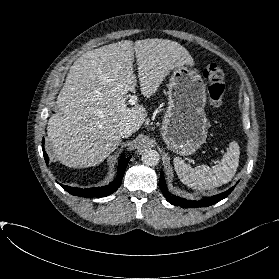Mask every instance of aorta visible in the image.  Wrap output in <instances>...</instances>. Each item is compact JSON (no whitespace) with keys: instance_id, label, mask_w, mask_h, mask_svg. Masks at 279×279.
<instances>
[{"instance_id":"762f6f07","label":"aorta","mask_w":279,"mask_h":279,"mask_svg":"<svg viewBox=\"0 0 279 279\" xmlns=\"http://www.w3.org/2000/svg\"><path fill=\"white\" fill-rule=\"evenodd\" d=\"M160 161L159 153L156 150L149 149L142 154V162L148 166H156Z\"/></svg>"}]
</instances>
